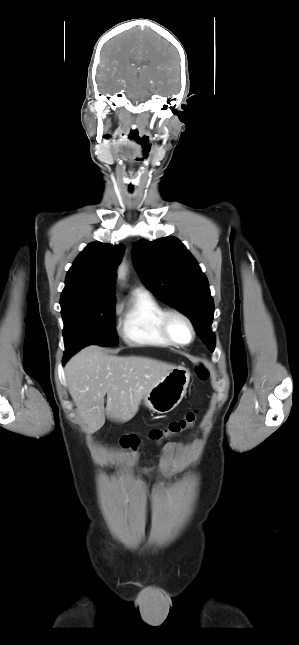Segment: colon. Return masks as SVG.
I'll use <instances>...</instances> for the list:
<instances>
[{"label":"colon","instance_id":"colon-1","mask_svg":"<svg viewBox=\"0 0 299 645\" xmlns=\"http://www.w3.org/2000/svg\"><path fill=\"white\" fill-rule=\"evenodd\" d=\"M196 375L200 380H207L210 376L209 368L204 363L196 366ZM197 420V412L190 411L183 418L170 422L164 428H154L148 433V439L154 443H162L164 439L177 436L185 430L192 428ZM123 448L136 450L141 445V439L137 435H126L120 440Z\"/></svg>","mask_w":299,"mask_h":645}]
</instances>
